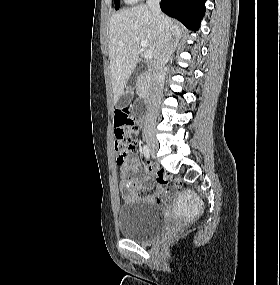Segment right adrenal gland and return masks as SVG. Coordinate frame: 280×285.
<instances>
[{"mask_svg":"<svg viewBox=\"0 0 280 285\" xmlns=\"http://www.w3.org/2000/svg\"><path fill=\"white\" fill-rule=\"evenodd\" d=\"M179 47H180L179 39H175V40L173 41V43H172V52H171V54L173 55V53H174L177 49H179Z\"/></svg>","mask_w":280,"mask_h":285,"instance_id":"2a0ac1e0","label":"right adrenal gland"}]
</instances>
